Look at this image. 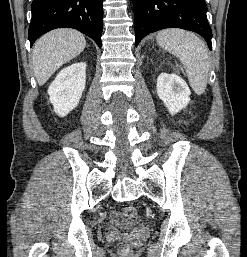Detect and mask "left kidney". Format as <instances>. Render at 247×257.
I'll return each instance as SVG.
<instances>
[{"label":"left kidney","instance_id":"1","mask_svg":"<svg viewBox=\"0 0 247 257\" xmlns=\"http://www.w3.org/2000/svg\"><path fill=\"white\" fill-rule=\"evenodd\" d=\"M157 95L174 115L190 102V89L186 82L176 74L161 73L157 79Z\"/></svg>","mask_w":247,"mask_h":257}]
</instances>
